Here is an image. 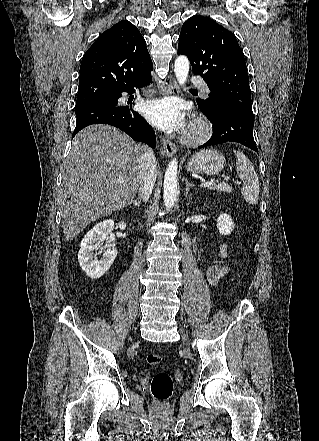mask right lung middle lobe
I'll return each instance as SVG.
<instances>
[{"instance_id":"obj_1","label":"right lung middle lobe","mask_w":319,"mask_h":441,"mask_svg":"<svg viewBox=\"0 0 319 441\" xmlns=\"http://www.w3.org/2000/svg\"><path fill=\"white\" fill-rule=\"evenodd\" d=\"M98 101H100V100H98ZM95 102H96V101H95ZM90 103H93V102H76L75 110L78 109V108H80V107H83V106H85V105H88V104H90Z\"/></svg>"}]
</instances>
